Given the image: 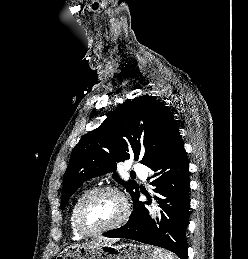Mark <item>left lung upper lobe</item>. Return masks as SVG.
<instances>
[{
    "label": "left lung upper lobe",
    "mask_w": 248,
    "mask_h": 259,
    "mask_svg": "<svg viewBox=\"0 0 248 259\" xmlns=\"http://www.w3.org/2000/svg\"><path fill=\"white\" fill-rule=\"evenodd\" d=\"M180 141L173 113L162 102L147 95L128 100L73 149L64 174L61 206L67 205L84 181L115 171L118 162L134 158L150 168ZM113 177L132 197L138 192L134 180L125 182L116 174Z\"/></svg>",
    "instance_id": "obj_1"
}]
</instances>
